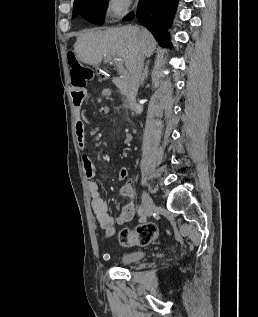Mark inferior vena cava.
I'll return each instance as SVG.
<instances>
[{
    "mask_svg": "<svg viewBox=\"0 0 258 317\" xmlns=\"http://www.w3.org/2000/svg\"><path fill=\"white\" fill-rule=\"evenodd\" d=\"M143 64H144V54L140 48L138 52H136L134 56V60H132L128 70H129V76L127 80V90H126V96H127V102L130 106V108H134L136 104V94L141 78V72L143 70Z\"/></svg>",
    "mask_w": 258,
    "mask_h": 317,
    "instance_id": "inferior-vena-cava-1",
    "label": "inferior vena cava"
}]
</instances>
